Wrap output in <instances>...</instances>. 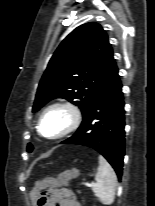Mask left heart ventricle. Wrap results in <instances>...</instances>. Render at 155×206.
Masks as SVG:
<instances>
[{"instance_id":"b2bd125f","label":"left heart ventricle","mask_w":155,"mask_h":206,"mask_svg":"<svg viewBox=\"0 0 155 206\" xmlns=\"http://www.w3.org/2000/svg\"><path fill=\"white\" fill-rule=\"evenodd\" d=\"M67 123V115L62 111H53L46 115L42 124V131L46 136L58 134Z\"/></svg>"}]
</instances>
